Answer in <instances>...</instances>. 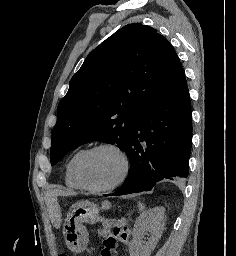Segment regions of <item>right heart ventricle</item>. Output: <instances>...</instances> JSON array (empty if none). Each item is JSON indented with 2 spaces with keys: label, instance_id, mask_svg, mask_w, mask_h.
Wrapping results in <instances>:
<instances>
[{
  "label": "right heart ventricle",
  "instance_id": "e07e8e85",
  "mask_svg": "<svg viewBox=\"0 0 236 256\" xmlns=\"http://www.w3.org/2000/svg\"><path fill=\"white\" fill-rule=\"evenodd\" d=\"M86 151L85 148L78 149L74 153H72L66 160L64 166V181L65 184L75 190L82 189L80 185L77 175H76V166L81 155Z\"/></svg>",
  "mask_w": 236,
  "mask_h": 256
}]
</instances>
